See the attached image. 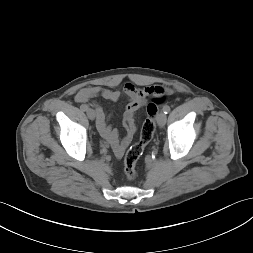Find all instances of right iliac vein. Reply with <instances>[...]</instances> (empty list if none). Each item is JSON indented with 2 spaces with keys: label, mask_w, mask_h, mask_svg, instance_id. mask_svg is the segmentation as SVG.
Here are the masks:
<instances>
[{
  "label": "right iliac vein",
  "mask_w": 253,
  "mask_h": 253,
  "mask_svg": "<svg viewBox=\"0 0 253 253\" xmlns=\"http://www.w3.org/2000/svg\"><path fill=\"white\" fill-rule=\"evenodd\" d=\"M87 116L90 120H94L96 117V113L93 109H88L87 110Z\"/></svg>",
  "instance_id": "obj_1"
}]
</instances>
